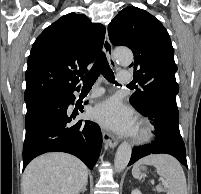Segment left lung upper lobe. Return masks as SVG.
<instances>
[{"mask_svg":"<svg viewBox=\"0 0 201 194\" xmlns=\"http://www.w3.org/2000/svg\"><path fill=\"white\" fill-rule=\"evenodd\" d=\"M108 34L114 46H127L134 54L130 67L142 89L130 97V103L143 110L157 99L176 102L179 85L174 49L160 21L145 10L128 6L108 25Z\"/></svg>","mask_w":201,"mask_h":194,"instance_id":"left-lung-upper-lobe-1","label":"left lung upper lobe"}]
</instances>
